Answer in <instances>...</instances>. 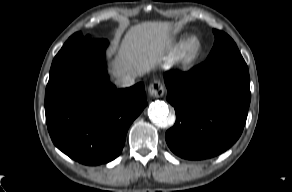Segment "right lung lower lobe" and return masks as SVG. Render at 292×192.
Instances as JSON below:
<instances>
[{
	"label": "right lung lower lobe",
	"instance_id": "obj_1",
	"mask_svg": "<svg viewBox=\"0 0 292 192\" xmlns=\"http://www.w3.org/2000/svg\"><path fill=\"white\" fill-rule=\"evenodd\" d=\"M104 39L67 41L55 56L45 94L46 123L55 146L85 164L121 153L129 126L146 107L143 83L116 89L108 79Z\"/></svg>",
	"mask_w": 292,
	"mask_h": 192
}]
</instances>
